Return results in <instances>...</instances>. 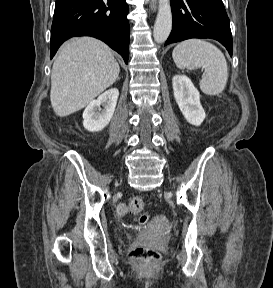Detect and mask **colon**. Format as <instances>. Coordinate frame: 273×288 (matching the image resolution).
<instances>
[{
	"instance_id": "colon-1",
	"label": "colon",
	"mask_w": 273,
	"mask_h": 288,
	"mask_svg": "<svg viewBox=\"0 0 273 288\" xmlns=\"http://www.w3.org/2000/svg\"><path fill=\"white\" fill-rule=\"evenodd\" d=\"M130 211L135 215L140 224H145L148 221V215L145 213V203L140 197H133L129 203ZM130 258L142 261L147 265H154L160 259V254L150 248L137 246L129 253Z\"/></svg>"
}]
</instances>
